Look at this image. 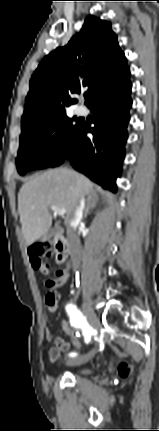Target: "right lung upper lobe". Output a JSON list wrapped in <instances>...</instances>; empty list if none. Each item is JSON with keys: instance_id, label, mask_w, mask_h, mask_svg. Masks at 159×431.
<instances>
[{"instance_id": "right-lung-upper-lobe-1", "label": "right lung upper lobe", "mask_w": 159, "mask_h": 431, "mask_svg": "<svg viewBox=\"0 0 159 431\" xmlns=\"http://www.w3.org/2000/svg\"><path fill=\"white\" fill-rule=\"evenodd\" d=\"M129 67L119 48L111 24L88 16L79 34L68 45L59 47L44 57L30 80L21 120L22 131L55 115L76 103L69 96L87 87L95 98L128 76Z\"/></svg>"}]
</instances>
